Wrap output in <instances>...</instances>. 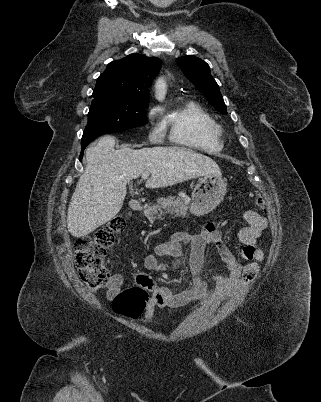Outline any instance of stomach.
<instances>
[{"label": "stomach", "instance_id": "0dacf381", "mask_svg": "<svg viewBox=\"0 0 321 402\" xmlns=\"http://www.w3.org/2000/svg\"><path fill=\"white\" fill-rule=\"evenodd\" d=\"M227 184L221 175H204L192 192L190 212L195 216L208 214L223 200Z\"/></svg>", "mask_w": 321, "mask_h": 402}]
</instances>
